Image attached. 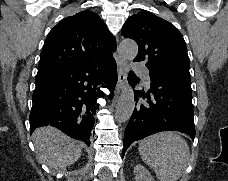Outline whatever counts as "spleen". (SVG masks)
I'll return each instance as SVG.
<instances>
[{"instance_id":"3e777b00","label":"spleen","mask_w":228,"mask_h":181,"mask_svg":"<svg viewBox=\"0 0 228 181\" xmlns=\"http://www.w3.org/2000/svg\"><path fill=\"white\" fill-rule=\"evenodd\" d=\"M138 151L142 161L155 171L159 181H178L190 155L186 141L172 131L139 141Z\"/></svg>"}]
</instances>
